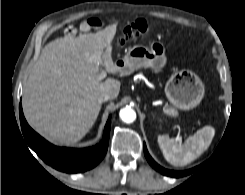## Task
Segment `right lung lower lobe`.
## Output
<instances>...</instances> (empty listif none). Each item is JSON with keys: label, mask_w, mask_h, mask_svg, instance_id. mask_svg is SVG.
<instances>
[{"label": "right lung lower lobe", "mask_w": 245, "mask_h": 195, "mask_svg": "<svg viewBox=\"0 0 245 195\" xmlns=\"http://www.w3.org/2000/svg\"><path fill=\"white\" fill-rule=\"evenodd\" d=\"M19 115L21 129L28 145L46 164L59 171L66 173L87 171L95 167L107 152L111 117L106 123L103 139L99 144L85 149H71L56 147L33 131L24 118L21 104Z\"/></svg>", "instance_id": "98d812e1"}]
</instances>
